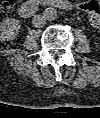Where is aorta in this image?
Segmentation results:
<instances>
[{
  "label": "aorta",
  "instance_id": "1",
  "mask_svg": "<svg viewBox=\"0 0 100 118\" xmlns=\"http://www.w3.org/2000/svg\"><path fill=\"white\" fill-rule=\"evenodd\" d=\"M43 15L46 18V20L54 21L57 18L58 12L57 9L53 7H48L44 10Z\"/></svg>",
  "mask_w": 100,
  "mask_h": 118
}]
</instances>
